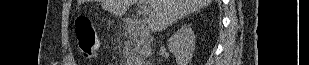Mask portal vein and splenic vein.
Instances as JSON below:
<instances>
[{"mask_svg": "<svg viewBox=\"0 0 309 65\" xmlns=\"http://www.w3.org/2000/svg\"><path fill=\"white\" fill-rule=\"evenodd\" d=\"M149 12H150V7H147L146 4L142 5V11H141V13L144 14V15H146V14H148Z\"/></svg>", "mask_w": 309, "mask_h": 65, "instance_id": "18ae733b", "label": "portal vein and splenic vein"}]
</instances>
